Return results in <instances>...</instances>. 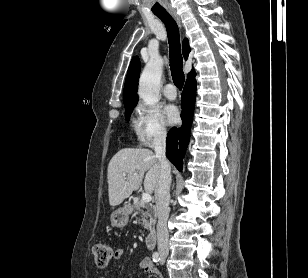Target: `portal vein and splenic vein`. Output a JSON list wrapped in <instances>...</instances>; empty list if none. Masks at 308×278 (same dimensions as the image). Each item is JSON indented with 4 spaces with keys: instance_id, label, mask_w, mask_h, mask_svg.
I'll use <instances>...</instances> for the list:
<instances>
[{
    "instance_id": "1",
    "label": "portal vein and splenic vein",
    "mask_w": 308,
    "mask_h": 278,
    "mask_svg": "<svg viewBox=\"0 0 308 278\" xmlns=\"http://www.w3.org/2000/svg\"><path fill=\"white\" fill-rule=\"evenodd\" d=\"M123 175L125 176L126 174L123 173ZM142 200L146 203L150 202L152 200L151 194L148 192L142 193Z\"/></svg>"
}]
</instances>
